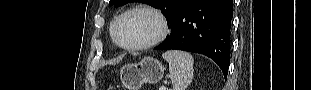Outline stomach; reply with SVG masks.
Returning <instances> with one entry per match:
<instances>
[{
    "label": "stomach",
    "instance_id": "0dacf381",
    "mask_svg": "<svg viewBox=\"0 0 311 90\" xmlns=\"http://www.w3.org/2000/svg\"><path fill=\"white\" fill-rule=\"evenodd\" d=\"M164 75L162 64L151 57H146L138 64H127L120 70V79L128 90H139L145 83L159 82Z\"/></svg>",
    "mask_w": 311,
    "mask_h": 90
}]
</instances>
